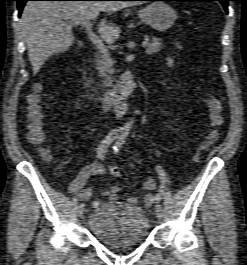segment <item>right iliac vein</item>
<instances>
[{"mask_svg": "<svg viewBox=\"0 0 247 265\" xmlns=\"http://www.w3.org/2000/svg\"><path fill=\"white\" fill-rule=\"evenodd\" d=\"M84 211H85V209H84V204H80V205L78 206V209H77V216H78V217H82L83 214H84Z\"/></svg>", "mask_w": 247, "mask_h": 265, "instance_id": "right-iliac-vein-1", "label": "right iliac vein"}]
</instances>
